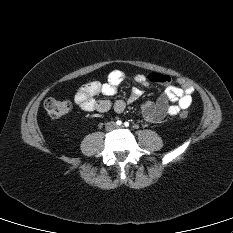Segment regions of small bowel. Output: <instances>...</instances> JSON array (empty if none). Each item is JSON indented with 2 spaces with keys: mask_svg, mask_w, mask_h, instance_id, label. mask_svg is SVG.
<instances>
[{
  "mask_svg": "<svg viewBox=\"0 0 233 233\" xmlns=\"http://www.w3.org/2000/svg\"><path fill=\"white\" fill-rule=\"evenodd\" d=\"M124 78L125 75L122 71L113 70L109 73L107 81L104 83L91 81L82 85L75 93V103L86 112L106 113L111 109L117 113L122 112L127 103L135 102L142 95L141 89L135 87L131 90L126 100L119 99L113 103L106 99L97 100L95 97L99 94L113 96ZM134 80L145 87L151 83L166 86L165 91L160 95L157 102L147 101L140 106L139 114L149 122L159 123L168 116L178 115L192 103L194 87L184 78H178L176 80L177 85L172 83L169 76L158 73L138 74L134 77Z\"/></svg>",
  "mask_w": 233,
  "mask_h": 233,
  "instance_id": "small-bowel-1",
  "label": "small bowel"
}]
</instances>
